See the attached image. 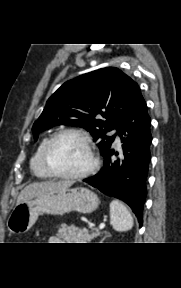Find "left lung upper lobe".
Here are the masks:
<instances>
[{
	"label": "left lung upper lobe",
	"instance_id": "1",
	"mask_svg": "<svg viewBox=\"0 0 181 288\" xmlns=\"http://www.w3.org/2000/svg\"><path fill=\"white\" fill-rule=\"evenodd\" d=\"M139 91L138 84L115 67L102 68L65 82L47 101L34 123L38 134L56 125L83 127L91 133L104 155L116 135L106 133L119 129ZM101 114L103 120L96 119Z\"/></svg>",
	"mask_w": 181,
	"mask_h": 288
}]
</instances>
